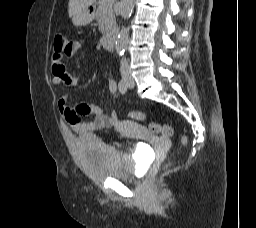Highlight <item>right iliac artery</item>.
I'll list each match as a JSON object with an SVG mask.
<instances>
[{
    "label": "right iliac artery",
    "mask_w": 256,
    "mask_h": 228,
    "mask_svg": "<svg viewBox=\"0 0 256 228\" xmlns=\"http://www.w3.org/2000/svg\"><path fill=\"white\" fill-rule=\"evenodd\" d=\"M118 88H119V91L122 93V94H125L126 91H127V88H128V84H127V81H126V78H122L118 84Z\"/></svg>",
    "instance_id": "obj_1"
}]
</instances>
